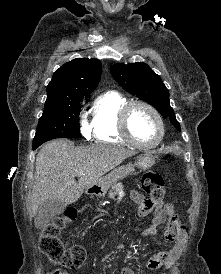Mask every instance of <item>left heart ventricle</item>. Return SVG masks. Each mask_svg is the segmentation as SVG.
I'll return each instance as SVG.
<instances>
[{
	"mask_svg": "<svg viewBox=\"0 0 221 274\" xmlns=\"http://www.w3.org/2000/svg\"><path fill=\"white\" fill-rule=\"evenodd\" d=\"M130 131L133 137L143 143H154L159 135V126L154 115L144 107H135L129 118Z\"/></svg>",
	"mask_w": 221,
	"mask_h": 274,
	"instance_id": "left-heart-ventricle-1",
	"label": "left heart ventricle"
}]
</instances>
